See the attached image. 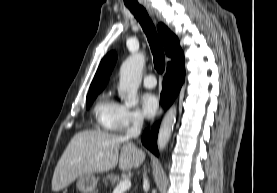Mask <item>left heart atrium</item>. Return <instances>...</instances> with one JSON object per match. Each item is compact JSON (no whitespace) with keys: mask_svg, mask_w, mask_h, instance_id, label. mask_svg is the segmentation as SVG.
Instances as JSON below:
<instances>
[{"mask_svg":"<svg viewBox=\"0 0 277 193\" xmlns=\"http://www.w3.org/2000/svg\"><path fill=\"white\" fill-rule=\"evenodd\" d=\"M141 110L145 117H153L159 107V101L155 94L146 92L140 98Z\"/></svg>","mask_w":277,"mask_h":193,"instance_id":"39dd6f15","label":"left heart atrium"}]
</instances>
